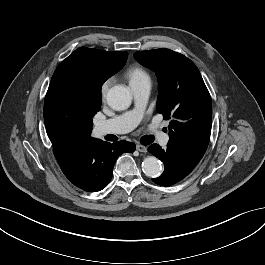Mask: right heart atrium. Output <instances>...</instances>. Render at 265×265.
Returning a JSON list of instances; mask_svg holds the SVG:
<instances>
[{
	"label": "right heart atrium",
	"instance_id": "1",
	"mask_svg": "<svg viewBox=\"0 0 265 265\" xmlns=\"http://www.w3.org/2000/svg\"><path fill=\"white\" fill-rule=\"evenodd\" d=\"M110 83H111L110 80H106V81L102 84V86H101V96H102V98H105V97H106V94H107V91H108V89H109Z\"/></svg>",
	"mask_w": 265,
	"mask_h": 265
}]
</instances>
